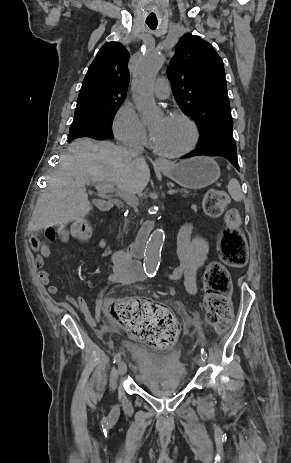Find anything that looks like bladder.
<instances>
[{
    "label": "bladder",
    "instance_id": "obj_1",
    "mask_svg": "<svg viewBox=\"0 0 291 463\" xmlns=\"http://www.w3.org/2000/svg\"><path fill=\"white\" fill-rule=\"evenodd\" d=\"M125 349L135 363L137 380L144 387L149 389L169 386L181 388L185 385L182 375L170 376L164 369V366L173 359L172 356L157 358L150 349L134 342H127Z\"/></svg>",
    "mask_w": 291,
    "mask_h": 463
}]
</instances>
